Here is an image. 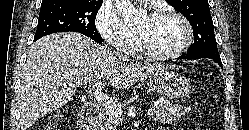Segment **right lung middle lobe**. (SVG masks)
Returning a JSON list of instances; mask_svg holds the SVG:
<instances>
[{"label": "right lung middle lobe", "mask_w": 249, "mask_h": 130, "mask_svg": "<svg viewBox=\"0 0 249 130\" xmlns=\"http://www.w3.org/2000/svg\"><path fill=\"white\" fill-rule=\"evenodd\" d=\"M102 2L61 0L41 5L34 39L56 32H79L97 43L102 37L95 27V18Z\"/></svg>", "instance_id": "1"}]
</instances>
